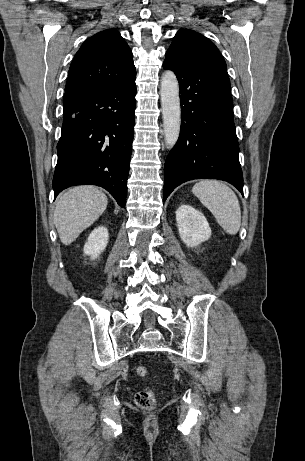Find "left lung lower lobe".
<instances>
[{"mask_svg":"<svg viewBox=\"0 0 305 461\" xmlns=\"http://www.w3.org/2000/svg\"><path fill=\"white\" fill-rule=\"evenodd\" d=\"M179 81L181 131L164 166V198L192 179H220L243 195L239 145L230 81L224 66L186 67L163 63Z\"/></svg>","mask_w":305,"mask_h":461,"instance_id":"0a47b994","label":"left lung lower lobe"}]
</instances>
